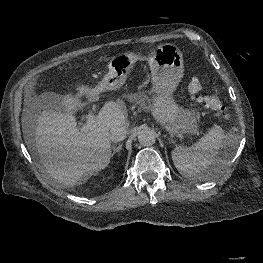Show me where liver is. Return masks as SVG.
Segmentation results:
<instances>
[{"label": "liver", "mask_w": 263, "mask_h": 263, "mask_svg": "<svg viewBox=\"0 0 263 263\" xmlns=\"http://www.w3.org/2000/svg\"><path fill=\"white\" fill-rule=\"evenodd\" d=\"M75 95L62 97L64 112L40 111L30 94H26L22 114L24 134L33 128L35 147L45 172L61 187H74L91 175L105 169L111 159L109 132L115 126H126L125 105L113 101L100 109L92 129L88 132L77 128L75 114L84 104L80 97L99 100L106 91L104 86L89 88L78 85Z\"/></svg>", "instance_id": "obj_1"}]
</instances>
